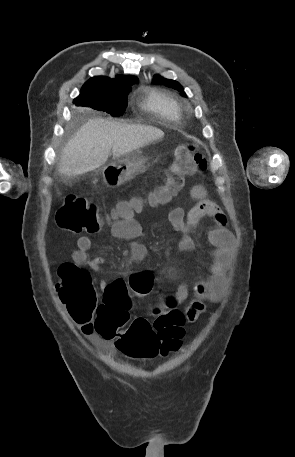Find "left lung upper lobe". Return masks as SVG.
Masks as SVG:
<instances>
[{
    "instance_id": "left-lung-upper-lobe-1",
    "label": "left lung upper lobe",
    "mask_w": 295,
    "mask_h": 457,
    "mask_svg": "<svg viewBox=\"0 0 295 457\" xmlns=\"http://www.w3.org/2000/svg\"><path fill=\"white\" fill-rule=\"evenodd\" d=\"M154 80H156L157 82L159 83H162L164 84L165 86H168V87H171V88H174V89H177L178 91H180L183 95H185V92H184V89L183 87L176 81L174 80H169V79H165L159 75H155L154 76Z\"/></svg>"
}]
</instances>
